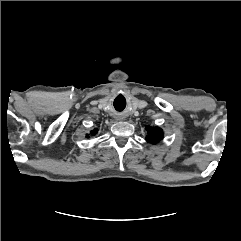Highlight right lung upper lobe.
Here are the masks:
<instances>
[{
  "label": "right lung upper lobe",
  "mask_w": 241,
  "mask_h": 241,
  "mask_svg": "<svg viewBox=\"0 0 241 241\" xmlns=\"http://www.w3.org/2000/svg\"><path fill=\"white\" fill-rule=\"evenodd\" d=\"M96 133H97V130H94V131L91 132V134H93V135L96 134Z\"/></svg>",
  "instance_id": "right-lung-upper-lobe-1"
}]
</instances>
